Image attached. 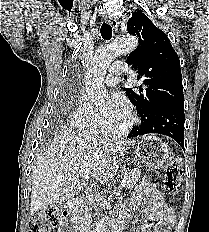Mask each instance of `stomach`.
<instances>
[{"instance_id": "obj_1", "label": "stomach", "mask_w": 209, "mask_h": 232, "mask_svg": "<svg viewBox=\"0 0 209 232\" xmlns=\"http://www.w3.org/2000/svg\"><path fill=\"white\" fill-rule=\"evenodd\" d=\"M135 154L147 167L162 169L169 157V147L156 136H143L135 145Z\"/></svg>"}]
</instances>
